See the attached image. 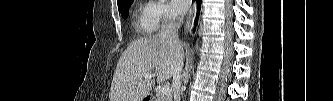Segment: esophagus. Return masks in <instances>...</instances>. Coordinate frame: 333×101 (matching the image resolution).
<instances>
[{"label":"esophagus","instance_id":"1","mask_svg":"<svg viewBox=\"0 0 333 101\" xmlns=\"http://www.w3.org/2000/svg\"><path fill=\"white\" fill-rule=\"evenodd\" d=\"M195 12H196L195 7H192L190 9L189 13H188L187 21H186L185 29H184L185 34H188L191 31L192 27H193Z\"/></svg>","mask_w":333,"mask_h":101}]
</instances>
